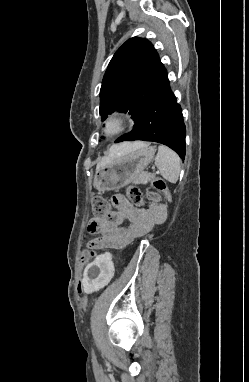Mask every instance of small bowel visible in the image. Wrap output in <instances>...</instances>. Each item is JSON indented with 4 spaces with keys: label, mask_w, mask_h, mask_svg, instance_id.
<instances>
[{
    "label": "small bowel",
    "mask_w": 249,
    "mask_h": 382,
    "mask_svg": "<svg viewBox=\"0 0 249 382\" xmlns=\"http://www.w3.org/2000/svg\"><path fill=\"white\" fill-rule=\"evenodd\" d=\"M112 203L115 211H111L107 216H94L89 221V232L99 235L91 241V245L97 248L124 247L150 232L155 225L163 223L167 217L164 208L151 210L136 207L122 195L113 196ZM124 222H127L128 226H122ZM109 259L111 260L110 257ZM78 290L83 291L81 283Z\"/></svg>",
    "instance_id": "1"
}]
</instances>
